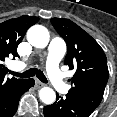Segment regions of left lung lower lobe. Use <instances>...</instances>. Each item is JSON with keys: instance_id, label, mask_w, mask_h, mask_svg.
I'll return each instance as SVG.
<instances>
[{"instance_id": "1", "label": "left lung lower lobe", "mask_w": 117, "mask_h": 117, "mask_svg": "<svg viewBox=\"0 0 117 117\" xmlns=\"http://www.w3.org/2000/svg\"><path fill=\"white\" fill-rule=\"evenodd\" d=\"M43 111L45 117H89L93 112L70 96L63 99L58 94L56 102L45 106Z\"/></svg>"}]
</instances>
